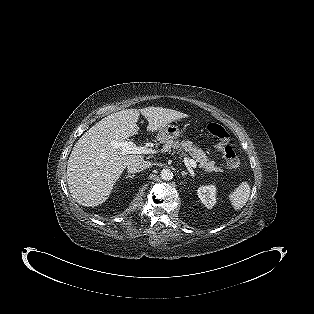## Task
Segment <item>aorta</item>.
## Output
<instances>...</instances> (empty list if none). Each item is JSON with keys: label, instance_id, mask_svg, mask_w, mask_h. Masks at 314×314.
Here are the masks:
<instances>
[{"label": "aorta", "instance_id": "obj_1", "mask_svg": "<svg viewBox=\"0 0 314 314\" xmlns=\"http://www.w3.org/2000/svg\"><path fill=\"white\" fill-rule=\"evenodd\" d=\"M160 177L163 180H171L173 178V173L171 172L170 169H162L160 173Z\"/></svg>", "mask_w": 314, "mask_h": 314}]
</instances>
